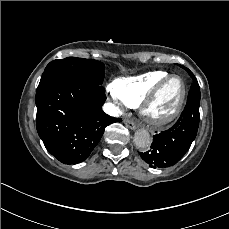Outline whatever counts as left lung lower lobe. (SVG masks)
<instances>
[{"instance_id":"0a47b994","label":"left lung lower lobe","mask_w":229,"mask_h":229,"mask_svg":"<svg viewBox=\"0 0 229 229\" xmlns=\"http://www.w3.org/2000/svg\"><path fill=\"white\" fill-rule=\"evenodd\" d=\"M184 69L193 79L184 111L174 126L153 136L149 151L139 152L141 158L152 168H165L176 164L189 150L197 134L200 89L193 73L187 68Z\"/></svg>"}]
</instances>
